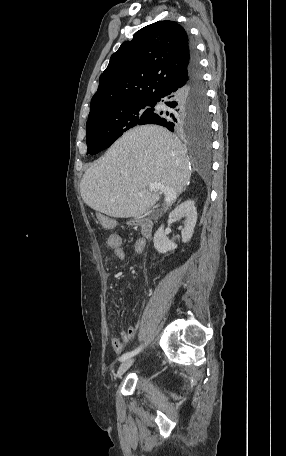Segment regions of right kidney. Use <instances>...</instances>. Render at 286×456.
Returning a JSON list of instances; mask_svg holds the SVG:
<instances>
[{
  "mask_svg": "<svg viewBox=\"0 0 286 456\" xmlns=\"http://www.w3.org/2000/svg\"><path fill=\"white\" fill-rule=\"evenodd\" d=\"M181 218H185L184 227L181 230V235L182 242L186 243L189 242L192 238L197 222V211L194 205V201H184L169 214V219L180 220ZM153 243L155 249L162 254H165L168 251H172L177 248V245L167 238L163 225H161L154 234Z\"/></svg>",
  "mask_w": 286,
  "mask_h": 456,
  "instance_id": "ca27d5eb",
  "label": "right kidney"
}]
</instances>
